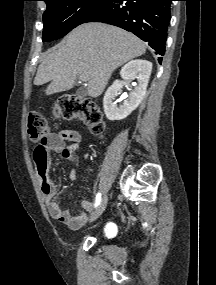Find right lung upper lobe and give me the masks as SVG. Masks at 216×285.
<instances>
[{
	"label": "right lung upper lobe",
	"mask_w": 216,
	"mask_h": 285,
	"mask_svg": "<svg viewBox=\"0 0 216 285\" xmlns=\"http://www.w3.org/2000/svg\"><path fill=\"white\" fill-rule=\"evenodd\" d=\"M46 3L49 2L50 0H44Z\"/></svg>",
	"instance_id": "cb5924a9"
}]
</instances>
